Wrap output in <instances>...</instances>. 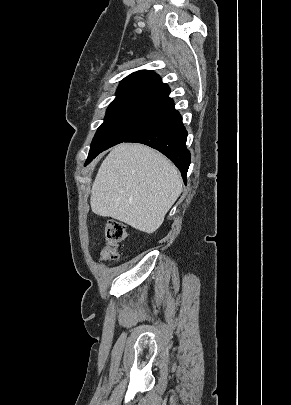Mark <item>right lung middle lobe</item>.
I'll return each instance as SVG.
<instances>
[{
	"label": "right lung middle lobe",
	"instance_id": "right-lung-middle-lobe-1",
	"mask_svg": "<svg viewBox=\"0 0 291 405\" xmlns=\"http://www.w3.org/2000/svg\"><path fill=\"white\" fill-rule=\"evenodd\" d=\"M171 109L172 105L144 100L110 104L104 122L93 138L86 164L102 151L118 143L125 142L133 135L152 125Z\"/></svg>",
	"mask_w": 291,
	"mask_h": 405
}]
</instances>
